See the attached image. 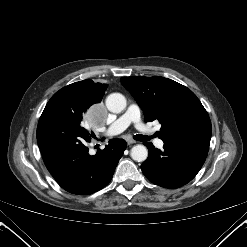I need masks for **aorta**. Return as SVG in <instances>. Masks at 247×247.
Listing matches in <instances>:
<instances>
[{"mask_svg": "<svg viewBox=\"0 0 247 247\" xmlns=\"http://www.w3.org/2000/svg\"><path fill=\"white\" fill-rule=\"evenodd\" d=\"M126 105V98L120 93H112L106 98V107L110 112L120 113ZM131 157L134 161L143 162L148 157V150L144 145H135L131 149Z\"/></svg>", "mask_w": 247, "mask_h": 247, "instance_id": "obj_1", "label": "aorta"}]
</instances>
